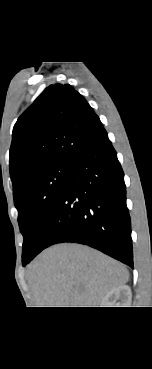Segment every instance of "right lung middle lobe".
Instances as JSON below:
<instances>
[{"label":"right lung middle lobe","instance_id":"dd1d6c3e","mask_svg":"<svg viewBox=\"0 0 152 369\" xmlns=\"http://www.w3.org/2000/svg\"><path fill=\"white\" fill-rule=\"evenodd\" d=\"M70 163H56L27 176L13 193L24 236L22 262L36 251L44 227L64 188Z\"/></svg>","mask_w":152,"mask_h":369}]
</instances>
